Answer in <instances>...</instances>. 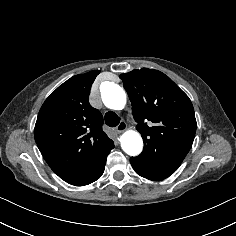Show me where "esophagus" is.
<instances>
[{
    "instance_id": "34e87169",
    "label": "esophagus",
    "mask_w": 236,
    "mask_h": 236,
    "mask_svg": "<svg viewBox=\"0 0 236 236\" xmlns=\"http://www.w3.org/2000/svg\"><path fill=\"white\" fill-rule=\"evenodd\" d=\"M127 126H126V123L125 122H121L118 124V126L116 127V130L119 132V133H122L126 130Z\"/></svg>"
}]
</instances>
